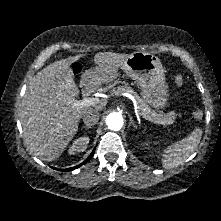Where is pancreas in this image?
I'll use <instances>...</instances> for the list:
<instances>
[{
    "mask_svg": "<svg viewBox=\"0 0 221 221\" xmlns=\"http://www.w3.org/2000/svg\"><path fill=\"white\" fill-rule=\"evenodd\" d=\"M113 93L115 95H121L123 93H129L133 95L137 101L138 110L162 125H171L175 122L176 115L174 112H169L168 114H164L163 112L157 113L155 110H152L149 105L143 99H141L131 87L127 85L118 86L117 89L113 90Z\"/></svg>",
    "mask_w": 221,
    "mask_h": 221,
    "instance_id": "obj_1",
    "label": "pancreas"
}]
</instances>
